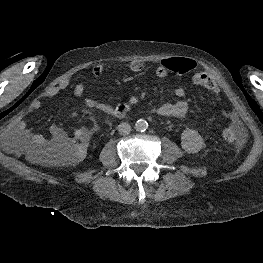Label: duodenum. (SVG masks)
<instances>
[{
    "mask_svg": "<svg viewBox=\"0 0 263 263\" xmlns=\"http://www.w3.org/2000/svg\"><path fill=\"white\" fill-rule=\"evenodd\" d=\"M129 111L127 105H120L114 112L113 115L116 117H124Z\"/></svg>",
    "mask_w": 263,
    "mask_h": 263,
    "instance_id": "duodenum-1",
    "label": "duodenum"
}]
</instances>
